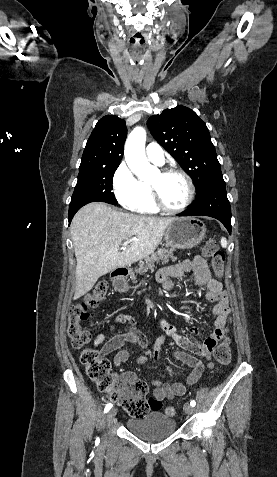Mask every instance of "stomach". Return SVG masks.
<instances>
[{
    "label": "stomach",
    "instance_id": "stomach-1",
    "mask_svg": "<svg viewBox=\"0 0 277 477\" xmlns=\"http://www.w3.org/2000/svg\"><path fill=\"white\" fill-rule=\"evenodd\" d=\"M205 224L194 217L175 218L167 227L164 240L167 247L172 249H192L198 246L206 237ZM114 286L120 291H127L128 284L117 280Z\"/></svg>",
    "mask_w": 277,
    "mask_h": 477
}]
</instances>
